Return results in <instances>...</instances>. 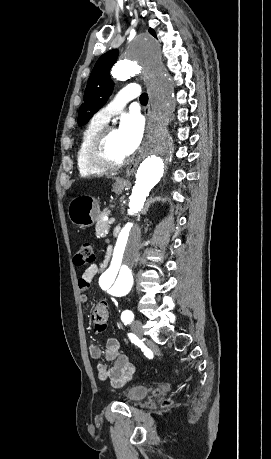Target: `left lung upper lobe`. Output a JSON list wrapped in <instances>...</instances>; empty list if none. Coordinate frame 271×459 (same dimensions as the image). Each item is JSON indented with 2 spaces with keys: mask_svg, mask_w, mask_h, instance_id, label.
I'll list each match as a JSON object with an SVG mask.
<instances>
[{
  "mask_svg": "<svg viewBox=\"0 0 271 459\" xmlns=\"http://www.w3.org/2000/svg\"><path fill=\"white\" fill-rule=\"evenodd\" d=\"M149 32L156 37L153 29ZM118 50L103 54L96 62L88 79L84 93V103L79 108L78 123L85 124L100 108L104 106L113 91L110 69L116 62Z\"/></svg>",
  "mask_w": 271,
  "mask_h": 459,
  "instance_id": "1",
  "label": "left lung upper lobe"
}]
</instances>
